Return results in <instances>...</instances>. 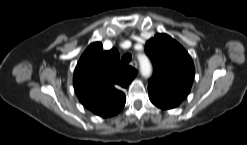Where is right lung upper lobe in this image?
<instances>
[{
    "label": "right lung upper lobe",
    "instance_id": "cb5924a9",
    "mask_svg": "<svg viewBox=\"0 0 247 145\" xmlns=\"http://www.w3.org/2000/svg\"><path fill=\"white\" fill-rule=\"evenodd\" d=\"M137 75V70L120 62L113 48L102 51V44H90L75 68L73 85L80 102L96 115L111 117L125 105L123 89Z\"/></svg>",
    "mask_w": 247,
    "mask_h": 145
}]
</instances>
